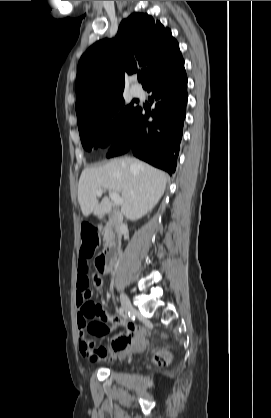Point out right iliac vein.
Returning a JSON list of instances; mask_svg holds the SVG:
<instances>
[{"mask_svg":"<svg viewBox=\"0 0 271 418\" xmlns=\"http://www.w3.org/2000/svg\"><path fill=\"white\" fill-rule=\"evenodd\" d=\"M120 301H121L122 307H123V309L126 313L133 310V306H132V304H131V302H130V300L127 297L126 294L122 293L120 295Z\"/></svg>","mask_w":271,"mask_h":418,"instance_id":"right-iliac-vein-1","label":"right iliac vein"}]
</instances>
